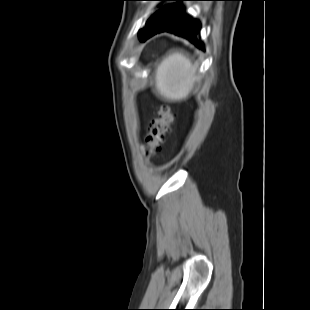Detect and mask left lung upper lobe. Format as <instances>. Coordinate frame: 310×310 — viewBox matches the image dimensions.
I'll use <instances>...</instances> for the list:
<instances>
[{
  "label": "left lung upper lobe",
  "instance_id": "1",
  "mask_svg": "<svg viewBox=\"0 0 310 310\" xmlns=\"http://www.w3.org/2000/svg\"><path fill=\"white\" fill-rule=\"evenodd\" d=\"M156 1H185V0H156ZM181 13L180 5L171 3L164 5L156 11L146 22V28L140 30L139 38L144 41L149 35L155 31L169 25Z\"/></svg>",
  "mask_w": 310,
  "mask_h": 310
}]
</instances>
